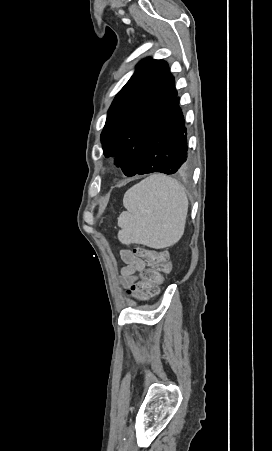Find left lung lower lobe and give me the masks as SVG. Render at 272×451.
<instances>
[{
  "label": "left lung lower lobe",
  "mask_w": 272,
  "mask_h": 451,
  "mask_svg": "<svg viewBox=\"0 0 272 451\" xmlns=\"http://www.w3.org/2000/svg\"><path fill=\"white\" fill-rule=\"evenodd\" d=\"M186 133L179 98L176 95L159 119L136 174H174L189 169Z\"/></svg>",
  "instance_id": "left-lung-lower-lobe-1"
}]
</instances>
